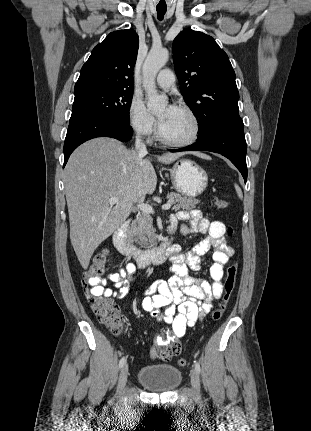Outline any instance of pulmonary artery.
I'll return each mask as SVG.
<instances>
[{"mask_svg": "<svg viewBox=\"0 0 311 431\" xmlns=\"http://www.w3.org/2000/svg\"><path fill=\"white\" fill-rule=\"evenodd\" d=\"M157 84L161 89L169 90L175 87V76L170 69H163L157 75Z\"/></svg>", "mask_w": 311, "mask_h": 431, "instance_id": "1", "label": "pulmonary artery"}]
</instances>
